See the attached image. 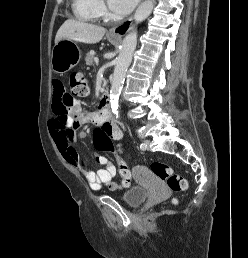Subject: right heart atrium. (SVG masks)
I'll list each match as a JSON object with an SVG mask.
<instances>
[{
    "mask_svg": "<svg viewBox=\"0 0 248 258\" xmlns=\"http://www.w3.org/2000/svg\"><path fill=\"white\" fill-rule=\"evenodd\" d=\"M97 9L99 14H104L106 12V8L102 0H97Z\"/></svg>",
    "mask_w": 248,
    "mask_h": 258,
    "instance_id": "1",
    "label": "right heart atrium"
}]
</instances>
